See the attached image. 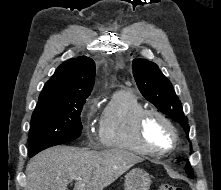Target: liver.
I'll use <instances>...</instances> for the list:
<instances>
[{"instance_id": "obj_1", "label": "liver", "mask_w": 221, "mask_h": 190, "mask_svg": "<svg viewBox=\"0 0 221 190\" xmlns=\"http://www.w3.org/2000/svg\"><path fill=\"white\" fill-rule=\"evenodd\" d=\"M140 156L123 150L90 151L71 146H57L37 154L26 167L27 190H103L133 165L142 162Z\"/></svg>"}]
</instances>
